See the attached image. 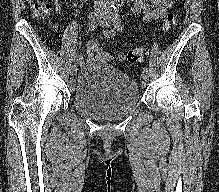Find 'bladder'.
Here are the masks:
<instances>
[{
  "instance_id": "bladder-1",
  "label": "bladder",
  "mask_w": 219,
  "mask_h": 192,
  "mask_svg": "<svg viewBox=\"0 0 219 192\" xmlns=\"http://www.w3.org/2000/svg\"><path fill=\"white\" fill-rule=\"evenodd\" d=\"M72 101L92 118L119 120L140 105V86L110 64L89 63L77 78Z\"/></svg>"
}]
</instances>
